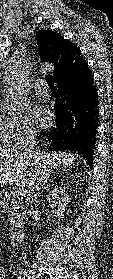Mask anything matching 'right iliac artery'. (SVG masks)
<instances>
[{
	"instance_id": "right-iliac-artery-1",
	"label": "right iliac artery",
	"mask_w": 113,
	"mask_h": 279,
	"mask_svg": "<svg viewBox=\"0 0 113 279\" xmlns=\"http://www.w3.org/2000/svg\"><path fill=\"white\" fill-rule=\"evenodd\" d=\"M15 275L17 279H25L28 276V272L24 269H19L18 271H16Z\"/></svg>"
}]
</instances>
